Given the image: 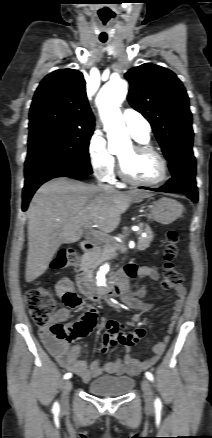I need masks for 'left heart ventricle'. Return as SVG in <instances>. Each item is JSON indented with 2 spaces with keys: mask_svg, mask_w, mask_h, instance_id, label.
I'll return each mask as SVG.
<instances>
[{
  "mask_svg": "<svg viewBox=\"0 0 212 438\" xmlns=\"http://www.w3.org/2000/svg\"><path fill=\"white\" fill-rule=\"evenodd\" d=\"M127 174L138 181L150 182L161 175V166L157 157L148 153L135 152L132 146L119 154Z\"/></svg>",
  "mask_w": 212,
  "mask_h": 438,
  "instance_id": "obj_1",
  "label": "left heart ventricle"
}]
</instances>
